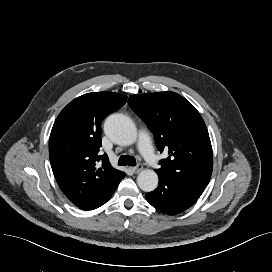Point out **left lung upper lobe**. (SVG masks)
I'll list each match as a JSON object with an SVG mask.
<instances>
[{
    "mask_svg": "<svg viewBox=\"0 0 272 272\" xmlns=\"http://www.w3.org/2000/svg\"><path fill=\"white\" fill-rule=\"evenodd\" d=\"M128 104L154 133L159 151L169 154L156 173L207 186L213 169L212 146L197 109L171 91L130 96Z\"/></svg>",
    "mask_w": 272,
    "mask_h": 272,
    "instance_id": "5c2ea615",
    "label": "left lung upper lobe"
}]
</instances>
